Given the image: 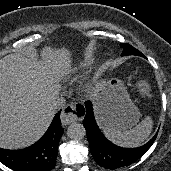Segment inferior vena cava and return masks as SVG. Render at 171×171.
Masks as SVG:
<instances>
[{
	"label": "inferior vena cava",
	"instance_id": "obj_1",
	"mask_svg": "<svg viewBox=\"0 0 171 171\" xmlns=\"http://www.w3.org/2000/svg\"><path fill=\"white\" fill-rule=\"evenodd\" d=\"M65 104H66L65 99L63 97H60L55 101L54 108L55 109L64 108Z\"/></svg>",
	"mask_w": 171,
	"mask_h": 171
}]
</instances>
